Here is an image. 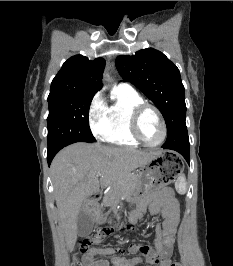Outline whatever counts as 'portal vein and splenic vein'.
<instances>
[{"label":"portal vein and splenic vein","mask_w":233,"mask_h":266,"mask_svg":"<svg viewBox=\"0 0 233 266\" xmlns=\"http://www.w3.org/2000/svg\"><path fill=\"white\" fill-rule=\"evenodd\" d=\"M97 176H98V177H100V176H101V174H100V173H98V174H97Z\"/></svg>","instance_id":"obj_1"}]
</instances>
